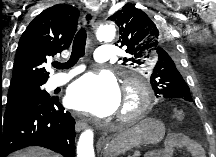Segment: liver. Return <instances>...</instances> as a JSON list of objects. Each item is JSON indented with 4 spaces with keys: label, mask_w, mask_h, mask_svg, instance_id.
<instances>
[{
    "label": "liver",
    "mask_w": 216,
    "mask_h": 157,
    "mask_svg": "<svg viewBox=\"0 0 216 157\" xmlns=\"http://www.w3.org/2000/svg\"><path fill=\"white\" fill-rule=\"evenodd\" d=\"M10 157H59V154L42 147H28L11 154Z\"/></svg>",
    "instance_id": "obj_1"
}]
</instances>
